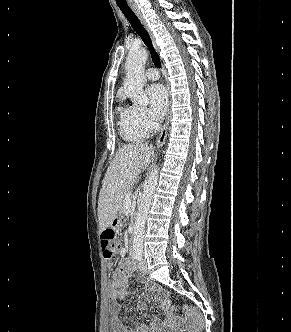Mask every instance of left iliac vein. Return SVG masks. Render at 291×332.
<instances>
[{
  "label": "left iliac vein",
  "mask_w": 291,
  "mask_h": 332,
  "mask_svg": "<svg viewBox=\"0 0 291 332\" xmlns=\"http://www.w3.org/2000/svg\"><path fill=\"white\" fill-rule=\"evenodd\" d=\"M139 270L146 274L147 273V263H146V260L145 259H142L139 263Z\"/></svg>",
  "instance_id": "left-iliac-vein-1"
}]
</instances>
